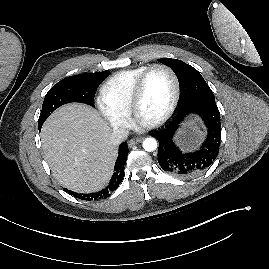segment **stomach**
<instances>
[{
	"instance_id": "stomach-1",
	"label": "stomach",
	"mask_w": 269,
	"mask_h": 269,
	"mask_svg": "<svg viewBox=\"0 0 269 269\" xmlns=\"http://www.w3.org/2000/svg\"><path fill=\"white\" fill-rule=\"evenodd\" d=\"M199 139V131L197 125L192 121L187 125V129L180 133L178 140L186 147L191 146Z\"/></svg>"
}]
</instances>
